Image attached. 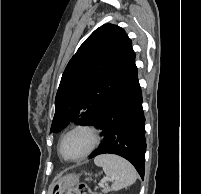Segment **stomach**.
<instances>
[{
  "label": "stomach",
  "mask_w": 201,
  "mask_h": 194,
  "mask_svg": "<svg viewBox=\"0 0 201 194\" xmlns=\"http://www.w3.org/2000/svg\"><path fill=\"white\" fill-rule=\"evenodd\" d=\"M79 177L77 175H66L52 184L51 194H64V192L77 185Z\"/></svg>",
  "instance_id": "1"
}]
</instances>
